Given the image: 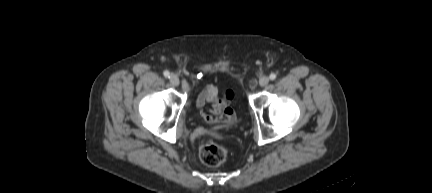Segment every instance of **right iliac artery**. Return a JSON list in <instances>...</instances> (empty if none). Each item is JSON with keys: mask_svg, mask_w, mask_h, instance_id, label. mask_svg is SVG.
I'll return each mask as SVG.
<instances>
[{"mask_svg": "<svg viewBox=\"0 0 432 193\" xmlns=\"http://www.w3.org/2000/svg\"><path fill=\"white\" fill-rule=\"evenodd\" d=\"M164 76L166 77V78H169L170 77V73H169V71H164Z\"/></svg>", "mask_w": 432, "mask_h": 193, "instance_id": "obj_1", "label": "right iliac artery"}]
</instances>
